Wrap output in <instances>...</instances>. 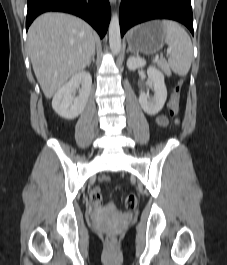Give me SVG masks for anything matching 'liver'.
Here are the masks:
<instances>
[{
	"label": "liver",
	"instance_id": "6515ba94",
	"mask_svg": "<svg viewBox=\"0 0 227 265\" xmlns=\"http://www.w3.org/2000/svg\"><path fill=\"white\" fill-rule=\"evenodd\" d=\"M27 44L35 76L48 99L84 70L95 52L92 27L65 13L36 18L28 30Z\"/></svg>",
	"mask_w": 227,
	"mask_h": 265
}]
</instances>
